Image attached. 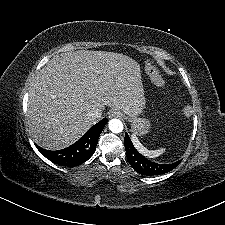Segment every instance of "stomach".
<instances>
[{
    "mask_svg": "<svg viewBox=\"0 0 225 225\" xmlns=\"http://www.w3.org/2000/svg\"><path fill=\"white\" fill-rule=\"evenodd\" d=\"M129 121L132 123V131L137 135H145L151 128L150 122L143 118L129 116Z\"/></svg>",
    "mask_w": 225,
    "mask_h": 225,
    "instance_id": "0dacf381",
    "label": "stomach"
}]
</instances>
